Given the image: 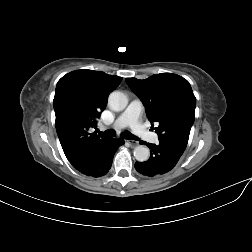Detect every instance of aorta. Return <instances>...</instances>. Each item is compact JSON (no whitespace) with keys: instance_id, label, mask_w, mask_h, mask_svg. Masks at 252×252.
Segmentation results:
<instances>
[{"instance_id":"aorta-1","label":"aorta","mask_w":252,"mask_h":252,"mask_svg":"<svg viewBox=\"0 0 252 252\" xmlns=\"http://www.w3.org/2000/svg\"><path fill=\"white\" fill-rule=\"evenodd\" d=\"M128 104L127 96L119 91H114L109 95L108 106L114 111H122L126 108ZM150 156V151L148 147L144 145H139L134 149V157L137 161L143 162L147 161Z\"/></svg>"}]
</instances>
